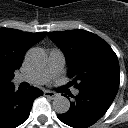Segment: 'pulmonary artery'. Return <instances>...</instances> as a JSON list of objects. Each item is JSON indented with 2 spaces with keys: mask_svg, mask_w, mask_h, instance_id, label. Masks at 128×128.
Masks as SVG:
<instances>
[{
  "mask_svg": "<svg viewBox=\"0 0 128 128\" xmlns=\"http://www.w3.org/2000/svg\"><path fill=\"white\" fill-rule=\"evenodd\" d=\"M65 65V56L61 50L51 49L48 64L45 69L22 74L16 77L17 82H28L33 85L46 84L53 76L58 74ZM79 90L74 89L73 94L78 95Z\"/></svg>",
  "mask_w": 128,
  "mask_h": 128,
  "instance_id": "obj_1",
  "label": "pulmonary artery"
}]
</instances>
